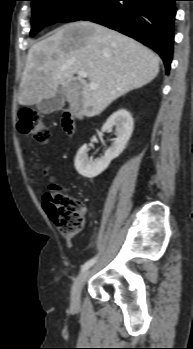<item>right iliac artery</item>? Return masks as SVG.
I'll use <instances>...</instances> for the list:
<instances>
[{"instance_id":"obj_1","label":"right iliac artery","mask_w":193,"mask_h":349,"mask_svg":"<svg viewBox=\"0 0 193 349\" xmlns=\"http://www.w3.org/2000/svg\"><path fill=\"white\" fill-rule=\"evenodd\" d=\"M96 260H97V257H94V258L88 260L85 264L82 265L81 271H85L88 268H90L96 262Z\"/></svg>"}]
</instances>
